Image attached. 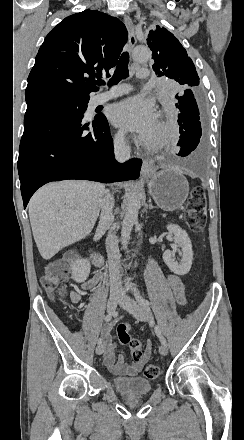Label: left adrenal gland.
<instances>
[{"label": "left adrenal gland", "instance_id": "a2214340", "mask_svg": "<svg viewBox=\"0 0 244 440\" xmlns=\"http://www.w3.org/2000/svg\"><path fill=\"white\" fill-rule=\"evenodd\" d=\"M152 208H156V206H152V204H149V210H152Z\"/></svg>", "mask_w": 244, "mask_h": 440}]
</instances>
